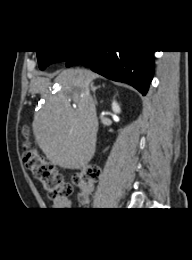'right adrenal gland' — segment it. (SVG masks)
I'll list each match as a JSON object with an SVG mask.
<instances>
[{
  "instance_id": "obj_1",
  "label": "right adrenal gland",
  "mask_w": 192,
  "mask_h": 260,
  "mask_svg": "<svg viewBox=\"0 0 192 260\" xmlns=\"http://www.w3.org/2000/svg\"><path fill=\"white\" fill-rule=\"evenodd\" d=\"M102 86H104V84H103ZM99 88H101V85L94 86L93 83L91 84V89H92V91H93L94 102H95L96 105L98 104V102H97V99H96L95 92H96V90L99 89Z\"/></svg>"
}]
</instances>
